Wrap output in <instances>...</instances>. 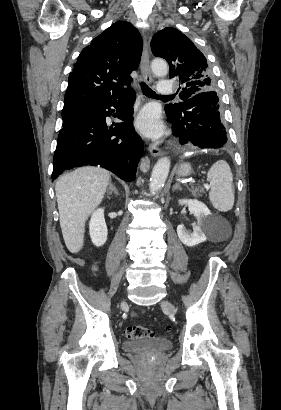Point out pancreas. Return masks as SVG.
<instances>
[{
	"label": "pancreas",
	"mask_w": 281,
	"mask_h": 410,
	"mask_svg": "<svg viewBox=\"0 0 281 410\" xmlns=\"http://www.w3.org/2000/svg\"><path fill=\"white\" fill-rule=\"evenodd\" d=\"M189 190L192 192L193 196L195 197L200 196L204 192L203 189L197 188V187H191Z\"/></svg>",
	"instance_id": "1"
}]
</instances>
